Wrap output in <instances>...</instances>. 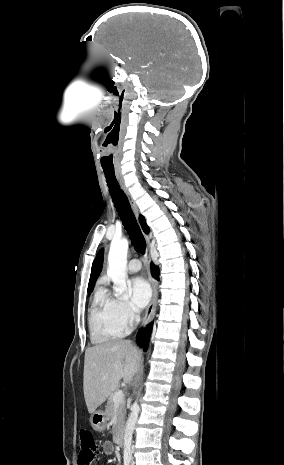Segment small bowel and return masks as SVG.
<instances>
[{
  "label": "small bowel",
  "instance_id": "c3829d8e",
  "mask_svg": "<svg viewBox=\"0 0 284 465\" xmlns=\"http://www.w3.org/2000/svg\"><path fill=\"white\" fill-rule=\"evenodd\" d=\"M112 451H113L112 446L109 443H105L104 446H103L102 452L105 455H110L112 453Z\"/></svg>",
  "mask_w": 284,
  "mask_h": 465
}]
</instances>
